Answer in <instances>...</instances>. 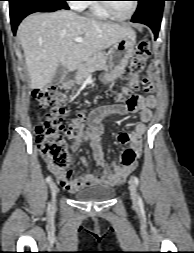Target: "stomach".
Masks as SVG:
<instances>
[{"instance_id": "obj_1", "label": "stomach", "mask_w": 194, "mask_h": 253, "mask_svg": "<svg viewBox=\"0 0 194 253\" xmlns=\"http://www.w3.org/2000/svg\"><path fill=\"white\" fill-rule=\"evenodd\" d=\"M135 38L123 37L112 45L109 51V65L102 75L103 81L113 83L123 73L133 55Z\"/></svg>"}]
</instances>
